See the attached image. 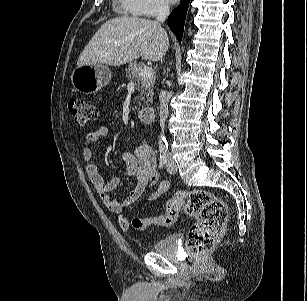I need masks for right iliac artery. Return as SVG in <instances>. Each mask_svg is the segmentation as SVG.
<instances>
[{
	"instance_id": "82829eb1",
	"label": "right iliac artery",
	"mask_w": 307,
	"mask_h": 301,
	"mask_svg": "<svg viewBox=\"0 0 307 301\" xmlns=\"http://www.w3.org/2000/svg\"><path fill=\"white\" fill-rule=\"evenodd\" d=\"M159 166L160 168H163L165 163H166V160H167V153H168V146H162L159 148Z\"/></svg>"
}]
</instances>
